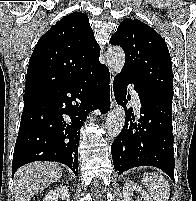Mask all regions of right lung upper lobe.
I'll return each mask as SVG.
<instances>
[{
  "label": "right lung upper lobe",
  "mask_w": 196,
  "mask_h": 201,
  "mask_svg": "<svg viewBox=\"0 0 196 201\" xmlns=\"http://www.w3.org/2000/svg\"><path fill=\"white\" fill-rule=\"evenodd\" d=\"M100 46L87 15L74 12L37 42L29 60L25 93L72 80L99 63Z\"/></svg>",
  "instance_id": "obj_1"
}]
</instances>
